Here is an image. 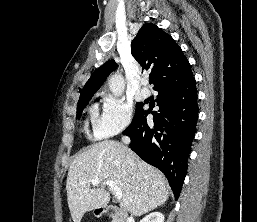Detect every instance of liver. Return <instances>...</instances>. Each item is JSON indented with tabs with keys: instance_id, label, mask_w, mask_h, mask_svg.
<instances>
[{
	"instance_id": "6515ba94",
	"label": "liver",
	"mask_w": 257,
	"mask_h": 222,
	"mask_svg": "<svg viewBox=\"0 0 257 222\" xmlns=\"http://www.w3.org/2000/svg\"><path fill=\"white\" fill-rule=\"evenodd\" d=\"M101 182L91 188V180ZM122 191L120 207L141 216L160 205L169 195L164 175L120 143L104 140L93 144L71 163L66 181L67 201L74 222L91 210L106 207L110 194L105 181Z\"/></svg>"
}]
</instances>
